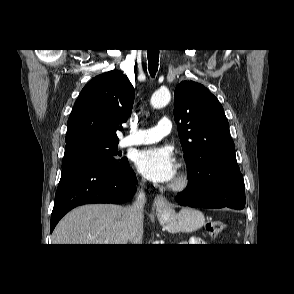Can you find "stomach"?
<instances>
[{
	"label": "stomach",
	"mask_w": 294,
	"mask_h": 294,
	"mask_svg": "<svg viewBox=\"0 0 294 294\" xmlns=\"http://www.w3.org/2000/svg\"><path fill=\"white\" fill-rule=\"evenodd\" d=\"M158 219L163 227L172 233L193 232L201 228L205 222L202 212L192 208H182L175 212L172 208L158 213Z\"/></svg>",
	"instance_id": "1"
}]
</instances>
